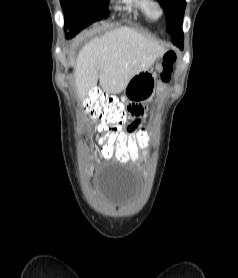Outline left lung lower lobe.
<instances>
[{
	"label": "left lung lower lobe",
	"mask_w": 238,
	"mask_h": 278,
	"mask_svg": "<svg viewBox=\"0 0 238 278\" xmlns=\"http://www.w3.org/2000/svg\"><path fill=\"white\" fill-rule=\"evenodd\" d=\"M173 43L179 46L180 48L183 47V33H182V25L178 30H176L173 34Z\"/></svg>",
	"instance_id": "1"
}]
</instances>
